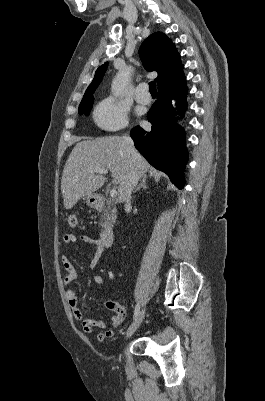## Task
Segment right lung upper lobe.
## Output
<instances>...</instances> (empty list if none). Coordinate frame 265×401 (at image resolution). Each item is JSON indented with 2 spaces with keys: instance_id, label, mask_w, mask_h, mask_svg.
Instances as JSON below:
<instances>
[{
  "instance_id": "1",
  "label": "right lung upper lobe",
  "mask_w": 265,
  "mask_h": 401,
  "mask_svg": "<svg viewBox=\"0 0 265 401\" xmlns=\"http://www.w3.org/2000/svg\"><path fill=\"white\" fill-rule=\"evenodd\" d=\"M140 57L147 70L158 72V77L156 78L158 91L174 88L185 80L180 55L174 44L164 33H153L146 38L140 48ZM107 66L108 63L106 62L97 69L82 102L93 98L92 94L99 86Z\"/></svg>"
}]
</instances>
